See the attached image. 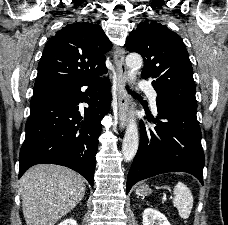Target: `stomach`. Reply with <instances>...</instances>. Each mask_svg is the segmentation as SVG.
I'll list each match as a JSON object with an SVG mask.
<instances>
[{
    "label": "stomach",
    "mask_w": 228,
    "mask_h": 225,
    "mask_svg": "<svg viewBox=\"0 0 228 225\" xmlns=\"http://www.w3.org/2000/svg\"><path fill=\"white\" fill-rule=\"evenodd\" d=\"M138 195H149L151 193V189H149L148 185H143V187H139L137 189Z\"/></svg>",
    "instance_id": "obj_1"
}]
</instances>
